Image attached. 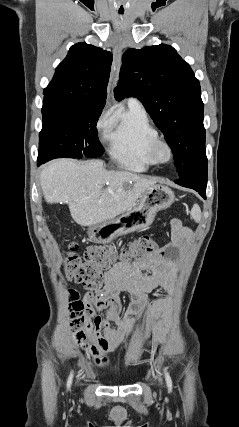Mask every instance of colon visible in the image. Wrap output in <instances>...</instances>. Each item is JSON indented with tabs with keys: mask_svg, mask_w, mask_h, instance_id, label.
Listing matches in <instances>:
<instances>
[{
	"mask_svg": "<svg viewBox=\"0 0 239 427\" xmlns=\"http://www.w3.org/2000/svg\"><path fill=\"white\" fill-rule=\"evenodd\" d=\"M155 249L154 240L150 236L144 235L133 241L128 250L121 253L117 252L113 246H94L87 248L81 259L75 253L76 245L72 244L71 251L66 257L65 274L68 280L80 283L86 289H99L102 286L103 272L114 262L139 258L154 252ZM69 300V325L73 338L78 345L86 347L85 330L89 326V305L74 290L70 291Z\"/></svg>",
	"mask_w": 239,
	"mask_h": 427,
	"instance_id": "1",
	"label": "colon"
}]
</instances>
